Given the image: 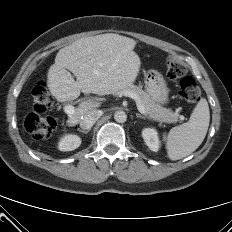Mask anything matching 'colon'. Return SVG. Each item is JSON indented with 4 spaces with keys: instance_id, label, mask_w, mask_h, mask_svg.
<instances>
[{
    "instance_id": "1",
    "label": "colon",
    "mask_w": 232,
    "mask_h": 232,
    "mask_svg": "<svg viewBox=\"0 0 232 232\" xmlns=\"http://www.w3.org/2000/svg\"><path fill=\"white\" fill-rule=\"evenodd\" d=\"M166 73L172 80L179 79V95L189 103L198 102L201 98V90L195 80L186 76L187 68L175 56H168L165 60ZM32 100L34 112L28 114L24 120L26 131L36 140H45L50 137L55 121L51 117L43 116L54 105V99L48 92L46 84L39 82L32 88Z\"/></svg>"
}]
</instances>
